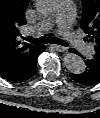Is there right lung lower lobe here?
<instances>
[{
  "instance_id": "right-lung-lower-lobe-1",
  "label": "right lung lower lobe",
  "mask_w": 100,
  "mask_h": 118,
  "mask_svg": "<svg viewBox=\"0 0 100 118\" xmlns=\"http://www.w3.org/2000/svg\"><path fill=\"white\" fill-rule=\"evenodd\" d=\"M44 50L45 46L35 45V47L25 55L18 65L0 71V75L12 83H22L29 80L36 74V59Z\"/></svg>"
}]
</instances>
